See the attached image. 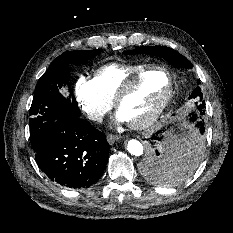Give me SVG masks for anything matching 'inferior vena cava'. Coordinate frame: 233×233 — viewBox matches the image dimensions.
Segmentation results:
<instances>
[{
    "mask_svg": "<svg viewBox=\"0 0 233 233\" xmlns=\"http://www.w3.org/2000/svg\"><path fill=\"white\" fill-rule=\"evenodd\" d=\"M103 116H104L103 113L96 112L91 114L90 118L94 121L101 122L103 120Z\"/></svg>",
    "mask_w": 233,
    "mask_h": 233,
    "instance_id": "602c4592",
    "label": "inferior vena cava"
}]
</instances>
